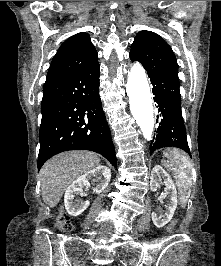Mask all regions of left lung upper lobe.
I'll list each match as a JSON object with an SVG mask.
<instances>
[{
	"mask_svg": "<svg viewBox=\"0 0 221 266\" xmlns=\"http://www.w3.org/2000/svg\"><path fill=\"white\" fill-rule=\"evenodd\" d=\"M130 58L142 63L148 74L178 79V64L171 47L154 32L140 31L136 35Z\"/></svg>",
	"mask_w": 221,
	"mask_h": 266,
	"instance_id": "1",
	"label": "left lung upper lobe"
}]
</instances>
